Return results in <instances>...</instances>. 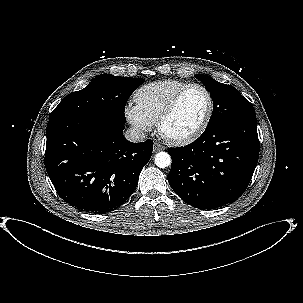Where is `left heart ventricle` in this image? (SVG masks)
<instances>
[{
    "label": "left heart ventricle",
    "mask_w": 303,
    "mask_h": 303,
    "mask_svg": "<svg viewBox=\"0 0 303 303\" xmlns=\"http://www.w3.org/2000/svg\"><path fill=\"white\" fill-rule=\"evenodd\" d=\"M207 108L208 101L204 92L198 88L190 89L165 123L164 132L173 137L193 132L203 120Z\"/></svg>",
    "instance_id": "left-heart-ventricle-1"
}]
</instances>
